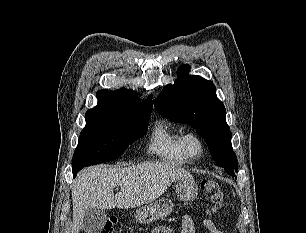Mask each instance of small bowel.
<instances>
[{"mask_svg": "<svg viewBox=\"0 0 306 233\" xmlns=\"http://www.w3.org/2000/svg\"><path fill=\"white\" fill-rule=\"evenodd\" d=\"M203 225L209 233H224L210 219H205ZM155 230H161L160 233H173V230L170 227H159ZM181 233H195V224L191 216H184Z\"/></svg>", "mask_w": 306, "mask_h": 233, "instance_id": "1", "label": "small bowel"}]
</instances>
